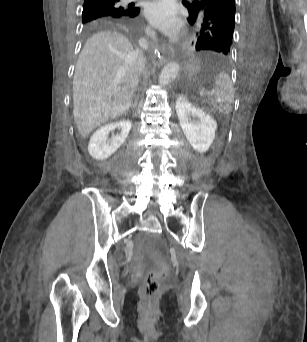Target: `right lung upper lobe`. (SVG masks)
Segmentation results:
<instances>
[{"mask_svg":"<svg viewBox=\"0 0 307 342\" xmlns=\"http://www.w3.org/2000/svg\"><path fill=\"white\" fill-rule=\"evenodd\" d=\"M101 9L110 14L82 23L86 33L99 29L133 30L136 26L139 8L126 6L121 0H84L83 10Z\"/></svg>","mask_w":307,"mask_h":342,"instance_id":"obj_1","label":"right lung upper lobe"}]
</instances>
